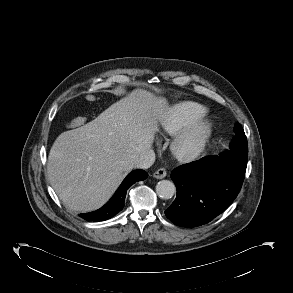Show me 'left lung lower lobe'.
I'll list each match as a JSON object with an SVG mask.
<instances>
[{
  "label": "left lung lower lobe",
  "mask_w": 293,
  "mask_h": 293,
  "mask_svg": "<svg viewBox=\"0 0 293 293\" xmlns=\"http://www.w3.org/2000/svg\"><path fill=\"white\" fill-rule=\"evenodd\" d=\"M247 158V139H238L231 144L230 151L174 169L171 178L177 196L165 211L167 218L182 227H196L213 220L237 197Z\"/></svg>",
  "instance_id": "0a47b994"
}]
</instances>
